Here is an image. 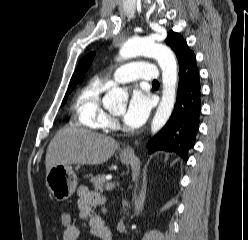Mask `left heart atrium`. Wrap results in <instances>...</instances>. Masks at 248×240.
<instances>
[{
	"mask_svg": "<svg viewBox=\"0 0 248 240\" xmlns=\"http://www.w3.org/2000/svg\"><path fill=\"white\" fill-rule=\"evenodd\" d=\"M151 106V99L148 93L142 88H134L123 115L124 123L132 128L141 126L146 121Z\"/></svg>",
	"mask_w": 248,
	"mask_h": 240,
	"instance_id": "obj_1",
	"label": "left heart atrium"
}]
</instances>
